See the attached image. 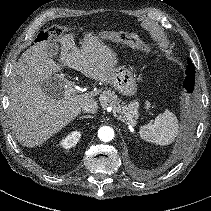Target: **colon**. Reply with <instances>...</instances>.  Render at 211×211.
<instances>
[{
    "label": "colon",
    "instance_id": "obj_1",
    "mask_svg": "<svg viewBox=\"0 0 211 211\" xmlns=\"http://www.w3.org/2000/svg\"><path fill=\"white\" fill-rule=\"evenodd\" d=\"M67 30L68 29L65 26H53L49 29L43 30L37 35L36 43L42 44L51 40L52 38L60 37L66 33Z\"/></svg>",
    "mask_w": 211,
    "mask_h": 211
}]
</instances>
